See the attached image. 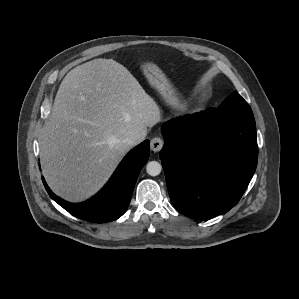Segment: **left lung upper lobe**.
<instances>
[{
	"instance_id": "5c2ea615",
	"label": "left lung upper lobe",
	"mask_w": 299,
	"mask_h": 299,
	"mask_svg": "<svg viewBox=\"0 0 299 299\" xmlns=\"http://www.w3.org/2000/svg\"><path fill=\"white\" fill-rule=\"evenodd\" d=\"M208 112L220 118L253 116L248 103L239 94L235 93L227 97L218 108H209Z\"/></svg>"
}]
</instances>
